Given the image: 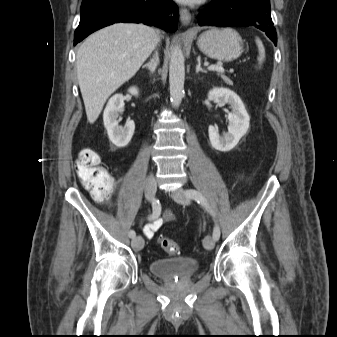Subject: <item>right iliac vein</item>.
Segmentation results:
<instances>
[{
  "label": "right iliac vein",
  "mask_w": 337,
  "mask_h": 337,
  "mask_svg": "<svg viewBox=\"0 0 337 337\" xmlns=\"http://www.w3.org/2000/svg\"><path fill=\"white\" fill-rule=\"evenodd\" d=\"M156 189H157V184H156L155 177L152 174H150L146 178V182H145V196L147 200L152 201L154 199L155 194H156ZM131 245L134 250L139 251L144 246V240L141 236H137L132 239Z\"/></svg>",
  "instance_id": "63e3f726"
}]
</instances>
